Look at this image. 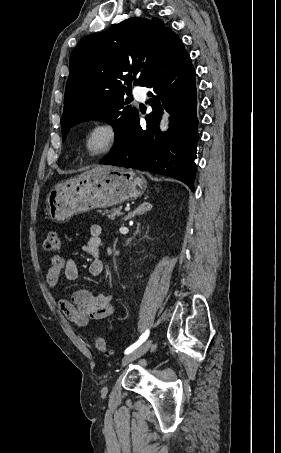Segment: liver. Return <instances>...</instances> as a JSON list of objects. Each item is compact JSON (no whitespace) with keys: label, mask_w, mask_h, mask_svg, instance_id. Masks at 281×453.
<instances>
[{"label":"liver","mask_w":281,"mask_h":453,"mask_svg":"<svg viewBox=\"0 0 281 453\" xmlns=\"http://www.w3.org/2000/svg\"><path fill=\"white\" fill-rule=\"evenodd\" d=\"M109 168H112V166H109V164H102V166H95V168H92V170H85V172H82V174H77V176H87V174H92V172H100V170H109Z\"/></svg>","instance_id":"obj_1"}]
</instances>
